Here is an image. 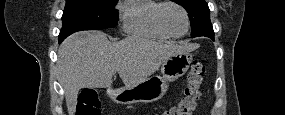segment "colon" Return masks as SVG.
<instances>
[{
	"label": "colon",
	"mask_w": 285,
	"mask_h": 115,
	"mask_svg": "<svg viewBox=\"0 0 285 115\" xmlns=\"http://www.w3.org/2000/svg\"><path fill=\"white\" fill-rule=\"evenodd\" d=\"M205 71L203 61L197 59L192 62L182 97L175 106L165 111L164 115H191L193 113L201 96ZM76 113L78 115L100 114V104L92 90L87 89L81 92Z\"/></svg>",
	"instance_id": "5ec220e1"
}]
</instances>
